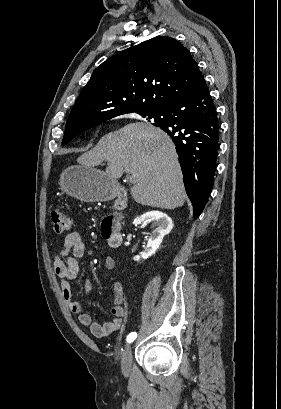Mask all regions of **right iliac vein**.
Segmentation results:
<instances>
[{
  "mask_svg": "<svg viewBox=\"0 0 281 409\" xmlns=\"http://www.w3.org/2000/svg\"><path fill=\"white\" fill-rule=\"evenodd\" d=\"M132 362V350L130 345H126L123 358H122V369L123 371H128Z\"/></svg>",
  "mask_w": 281,
  "mask_h": 409,
  "instance_id": "right-iliac-vein-1",
  "label": "right iliac vein"
}]
</instances>
